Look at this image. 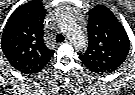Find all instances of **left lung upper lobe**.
Here are the masks:
<instances>
[{
    "instance_id": "5c2ea615",
    "label": "left lung upper lobe",
    "mask_w": 135,
    "mask_h": 95,
    "mask_svg": "<svg viewBox=\"0 0 135 95\" xmlns=\"http://www.w3.org/2000/svg\"><path fill=\"white\" fill-rule=\"evenodd\" d=\"M88 46L79 54L83 64L95 73L112 72L126 59L130 42L118 20L104 7L89 12Z\"/></svg>"
}]
</instances>
